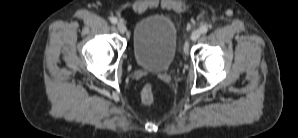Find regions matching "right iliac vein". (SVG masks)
<instances>
[{"label":"right iliac vein","mask_w":298,"mask_h":138,"mask_svg":"<svg viewBox=\"0 0 298 138\" xmlns=\"http://www.w3.org/2000/svg\"><path fill=\"white\" fill-rule=\"evenodd\" d=\"M117 29L120 33H125L126 32V25L123 22H118L117 23Z\"/></svg>","instance_id":"obj_1"}]
</instances>
